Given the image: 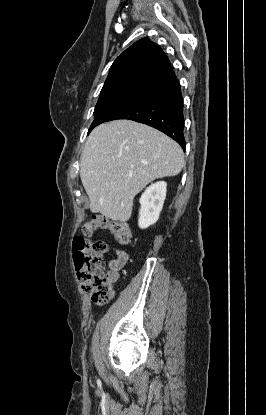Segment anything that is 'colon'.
<instances>
[{"mask_svg": "<svg viewBox=\"0 0 266 415\" xmlns=\"http://www.w3.org/2000/svg\"><path fill=\"white\" fill-rule=\"evenodd\" d=\"M100 229L108 230L122 245L130 243L132 234L127 223L97 214L83 224V236L74 239L73 256L78 278L84 289L91 294L93 301L107 302L113 296L111 277L103 266L107 245L101 241L90 242L86 239Z\"/></svg>", "mask_w": 266, "mask_h": 415, "instance_id": "5ec220e1", "label": "colon"}]
</instances>
